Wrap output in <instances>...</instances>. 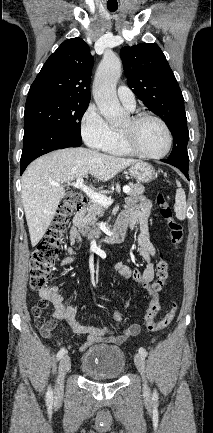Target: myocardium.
Instances as JSON below:
<instances>
[{
	"mask_svg": "<svg viewBox=\"0 0 213 433\" xmlns=\"http://www.w3.org/2000/svg\"><path fill=\"white\" fill-rule=\"evenodd\" d=\"M129 119H130V122L132 125H137L144 120H154V121L158 122L163 127V129L167 135V141H168L167 147L162 153L148 154V153H145L142 150H140V148L137 146L131 131L120 130L119 132H120L121 140H122L124 146L126 147V149L131 154L142 157V158H146V159H161L170 153L172 146H173V135H172V132H171L168 124L162 118H160L159 116H156L154 114L148 113V112H140V113L132 115Z\"/></svg>",
	"mask_w": 213,
	"mask_h": 433,
	"instance_id": "f54148a6",
	"label": "myocardium"
}]
</instances>
